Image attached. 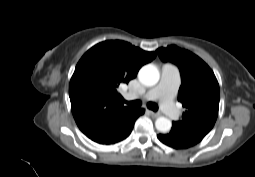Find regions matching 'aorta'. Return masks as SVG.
I'll return each mask as SVG.
<instances>
[{"label": "aorta", "instance_id": "aorta-1", "mask_svg": "<svg viewBox=\"0 0 255 177\" xmlns=\"http://www.w3.org/2000/svg\"><path fill=\"white\" fill-rule=\"evenodd\" d=\"M139 81L148 87L154 86L160 79V73L156 66L148 64L143 66L138 73ZM155 127L162 133H167L172 127L171 121L166 117H159L155 121Z\"/></svg>", "mask_w": 255, "mask_h": 177}]
</instances>
